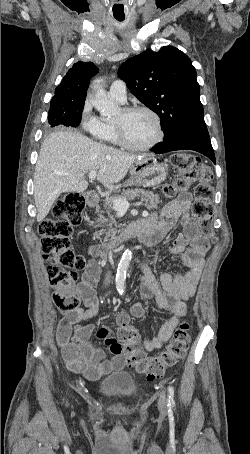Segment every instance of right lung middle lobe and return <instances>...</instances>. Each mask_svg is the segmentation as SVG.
Listing matches in <instances>:
<instances>
[{"mask_svg": "<svg viewBox=\"0 0 250 454\" xmlns=\"http://www.w3.org/2000/svg\"><path fill=\"white\" fill-rule=\"evenodd\" d=\"M84 101H68L61 98L51 100L48 114V122L51 127L65 125L77 127L82 118Z\"/></svg>", "mask_w": 250, "mask_h": 454, "instance_id": "right-lung-middle-lobe-1", "label": "right lung middle lobe"}]
</instances>
